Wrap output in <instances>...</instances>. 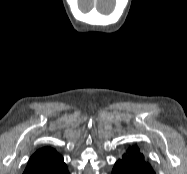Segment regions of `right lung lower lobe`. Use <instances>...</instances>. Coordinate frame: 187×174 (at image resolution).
Segmentation results:
<instances>
[{
    "label": "right lung lower lobe",
    "mask_w": 187,
    "mask_h": 174,
    "mask_svg": "<svg viewBox=\"0 0 187 174\" xmlns=\"http://www.w3.org/2000/svg\"><path fill=\"white\" fill-rule=\"evenodd\" d=\"M59 174H69L67 168L65 170H63L62 172H60Z\"/></svg>",
    "instance_id": "98d812e1"
}]
</instances>
